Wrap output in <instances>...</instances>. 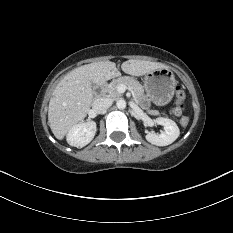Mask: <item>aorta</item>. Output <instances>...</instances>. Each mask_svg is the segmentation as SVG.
Segmentation results:
<instances>
[{
  "label": "aorta",
  "mask_w": 233,
  "mask_h": 233,
  "mask_svg": "<svg viewBox=\"0 0 233 233\" xmlns=\"http://www.w3.org/2000/svg\"><path fill=\"white\" fill-rule=\"evenodd\" d=\"M116 106L118 109L123 110L126 108V101L124 99H119L116 102Z\"/></svg>",
  "instance_id": "762f6f07"
}]
</instances>
